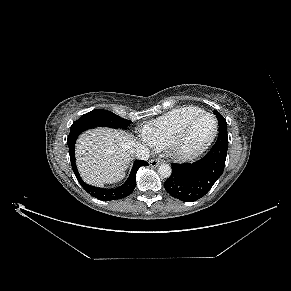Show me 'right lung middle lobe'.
Instances as JSON below:
<instances>
[{"instance_id": "1", "label": "right lung middle lobe", "mask_w": 291, "mask_h": 291, "mask_svg": "<svg viewBox=\"0 0 291 291\" xmlns=\"http://www.w3.org/2000/svg\"><path fill=\"white\" fill-rule=\"evenodd\" d=\"M131 121L121 118L120 116L103 109H96L82 115L73 124L76 125H91V126H106L110 128L126 129Z\"/></svg>"}]
</instances>
